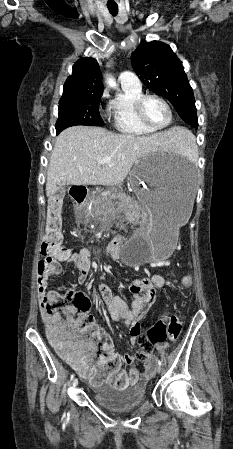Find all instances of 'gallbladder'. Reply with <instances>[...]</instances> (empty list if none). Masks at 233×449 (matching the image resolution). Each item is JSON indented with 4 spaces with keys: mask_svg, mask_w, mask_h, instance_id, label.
I'll use <instances>...</instances> for the list:
<instances>
[{
    "mask_svg": "<svg viewBox=\"0 0 233 449\" xmlns=\"http://www.w3.org/2000/svg\"><path fill=\"white\" fill-rule=\"evenodd\" d=\"M63 186H64V183H62L61 185H59V188H58V194L59 195H64V188H63Z\"/></svg>",
    "mask_w": 233,
    "mask_h": 449,
    "instance_id": "bac80fb5",
    "label": "gallbladder"
}]
</instances>
